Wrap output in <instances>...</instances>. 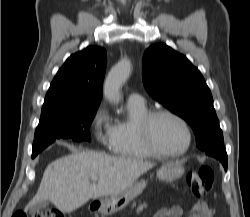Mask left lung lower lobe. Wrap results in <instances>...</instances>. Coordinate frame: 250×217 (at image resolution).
I'll return each mask as SVG.
<instances>
[{
	"instance_id": "0a47b994",
	"label": "left lung lower lobe",
	"mask_w": 250,
	"mask_h": 217,
	"mask_svg": "<svg viewBox=\"0 0 250 217\" xmlns=\"http://www.w3.org/2000/svg\"><path fill=\"white\" fill-rule=\"evenodd\" d=\"M205 153L208 156H212L218 159L223 164L224 169L227 170V153H226L224 146L218 147L216 149L208 150Z\"/></svg>"
}]
</instances>
